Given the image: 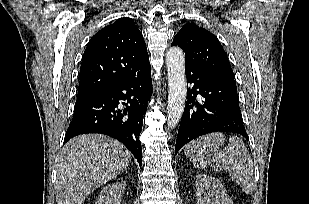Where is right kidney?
<instances>
[{"instance_id":"right-kidney-1","label":"right kidney","mask_w":309,"mask_h":204,"mask_svg":"<svg viewBox=\"0 0 309 204\" xmlns=\"http://www.w3.org/2000/svg\"><path fill=\"white\" fill-rule=\"evenodd\" d=\"M124 191V181L107 185L101 190L96 204H121Z\"/></svg>"}]
</instances>
